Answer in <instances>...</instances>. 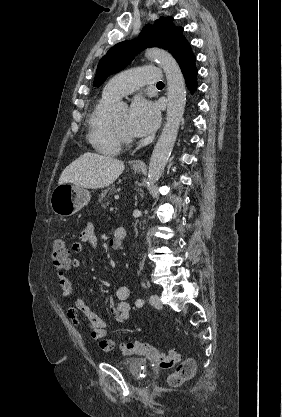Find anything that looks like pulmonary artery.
<instances>
[{
    "label": "pulmonary artery",
    "instance_id": "obj_1",
    "mask_svg": "<svg viewBox=\"0 0 282 417\" xmlns=\"http://www.w3.org/2000/svg\"><path fill=\"white\" fill-rule=\"evenodd\" d=\"M160 65H141L140 69L127 70L113 77L105 86L103 96L118 99L147 83H160Z\"/></svg>",
    "mask_w": 282,
    "mask_h": 417
}]
</instances>
